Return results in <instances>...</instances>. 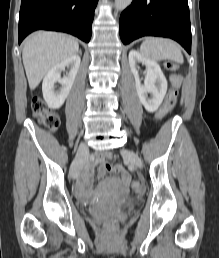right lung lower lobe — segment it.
Masks as SVG:
<instances>
[{"instance_id":"1","label":"right lung lower lobe","mask_w":219,"mask_h":258,"mask_svg":"<svg viewBox=\"0 0 219 258\" xmlns=\"http://www.w3.org/2000/svg\"><path fill=\"white\" fill-rule=\"evenodd\" d=\"M98 0H22L19 44L39 29L72 34L88 43Z\"/></svg>"}]
</instances>
